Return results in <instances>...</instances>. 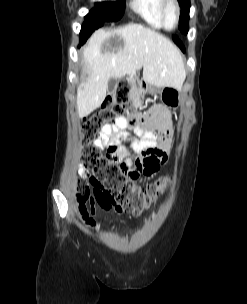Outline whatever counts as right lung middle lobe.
<instances>
[{
  "mask_svg": "<svg viewBox=\"0 0 247 304\" xmlns=\"http://www.w3.org/2000/svg\"><path fill=\"white\" fill-rule=\"evenodd\" d=\"M124 8V0L96 3L95 8L85 16V22L80 36L87 39L94 30L102 26L100 22L119 20L124 13Z\"/></svg>",
  "mask_w": 247,
  "mask_h": 304,
  "instance_id": "1",
  "label": "right lung middle lobe"
}]
</instances>
